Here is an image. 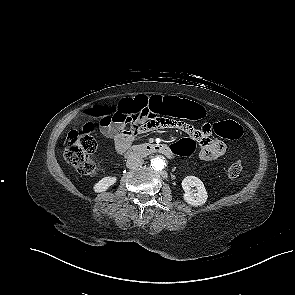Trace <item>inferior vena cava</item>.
Segmentation results:
<instances>
[{
  "label": "inferior vena cava",
  "mask_w": 295,
  "mask_h": 295,
  "mask_svg": "<svg viewBox=\"0 0 295 295\" xmlns=\"http://www.w3.org/2000/svg\"><path fill=\"white\" fill-rule=\"evenodd\" d=\"M143 163H144V160L142 158L133 156L127 160L126 166L129 169H134V168L142 166Z\"/></svg>",
  "instance_id": "obj_1"
}]
</instances>
